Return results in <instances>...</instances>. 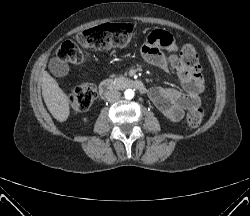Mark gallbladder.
I'll return each mask as SVG.
<instances>
[{"instance_id": "bac80fb5", "label": "gallbladder", "mask_w": 250, "mask_h": 216, "mask_svg": "<svg viewBox=\"0 0 250 216\" xmlns=\"http://www.w3.org/2000/svg\"><path fill=\"white\" fill-rule=\"evenodd\" d=\"M49 69L57 77L66 76L70 71L69 65L59 58H52L50 60Z\"/></svg>"}]
</instances>
